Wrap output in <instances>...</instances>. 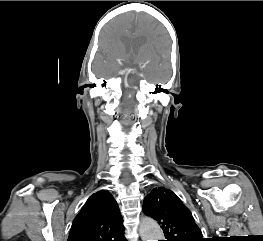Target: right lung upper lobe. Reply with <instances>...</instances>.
I'll list each match as a JSON object with an SVG mask.
<instances>
[{"label":"right lung upper lobe","instance_id":"cb5924a9","mask_svg":"<svg viewBox=\"0 0 263 241\" xmlns=\"http://www.w3.org/2000/svg\"><path fill=\"white\" fill-rule=\"evenodd\" d=\"M67 241H126L117 202L107 190L88 198L73 221Z\"/></svg>","mask_w":263,"mask_h":241}]
</instances>
